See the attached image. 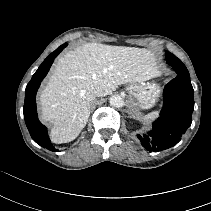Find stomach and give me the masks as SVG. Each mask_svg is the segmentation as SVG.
I'll return each mask as SVG.
<instances>
[{
	"label": "stomach",
	"instance_id": "stomach-1",
	"mask_svg": "<svg viewBox=\"0 0 211 211\" xmlns=\"http://www.w3.org/2000/svg\"><path fill=\"white\" fill-rule=\"evenodd\" d=\"M132 104L139 109H150L158 102L161 89L155 83H132L128 85Z\"/></svg>",
	"mask_w": 211,
	"mask_h": 211
}]
</instances>
